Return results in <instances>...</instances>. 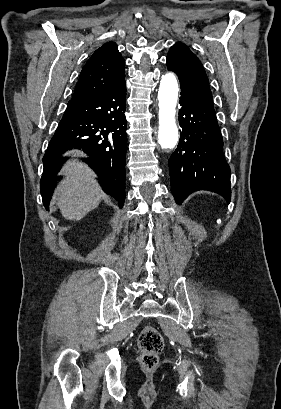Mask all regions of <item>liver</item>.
Listing matches in <instances>:
<instances>
[{
  "label": "liver",
  "mask_w": 281,
  "mask_h": 409,
  "mask_svg": "<svg viewBox=\"0 0 281 409\" xmlns=\"http://www.w3.org/2000/svg\"><path fill=\"white\" fill-rule=\"evenodd\" d=\"M61 174L64 178L55 188V194L62 217L68 221H81L98 207L101 200L102 188L96 180L97 174L79 160L67 162Z\"/></svg>",
  "instance_id": "1"
}]
</instances>
